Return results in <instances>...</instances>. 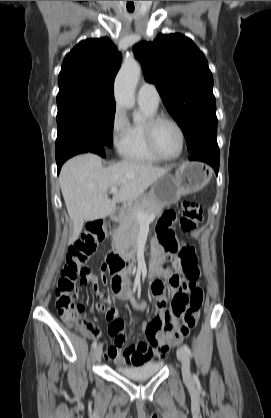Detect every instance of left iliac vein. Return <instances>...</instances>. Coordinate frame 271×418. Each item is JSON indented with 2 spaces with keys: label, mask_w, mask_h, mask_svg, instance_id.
<instances>
[{
  "label": "left iliac vein",
  "mask_w": 271,
  "mask_h": 418,
  "mask_svg": "<svg viewBox=\"0 0 271 418\" xmlns=\"http://www.w3.org/2000/svg\"><path fill=\"white\" fill-rule=\"evenodd\" d=\"M177 357L182 364V375L185 380L191 379V372H190V359L188 354L183 348L177 349Z\"/></svg>",
  "instance_id": "1"
}]
</instances>
